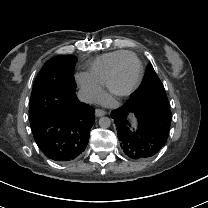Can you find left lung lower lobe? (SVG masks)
<instances>
[{"label": "left lung lower lobe", "mask_w": 208, "mask_h": 208, "mask_svg": "<svg viewBox=\"0 0 208 208\" xmlns=\"http://www.w3.org/2000/svg\"><path fill=\"white\" fill-rule=\"evenodd\" d=\"M134 113L138 126L134 130L127 119ZM111 117L117 128L123 152L131 159L145 160L156 155L165 145L171 125L168 106L146 99L132 98L122 107L113 110Z\"/></svg>", "instance_id": "1"}]
</instances>
